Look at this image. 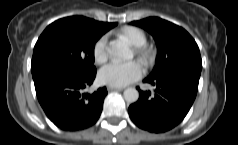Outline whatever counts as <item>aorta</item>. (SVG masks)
Masks as SVG:
<instances>
[{
	"instance_id": "762f6f07",
	"label": "aorta",
	"mask_w": 238,
	"mask_h": 145,
	"mask_svg": "<svg viewBox=\"0 0 238 145\" xmlns=\"http://www.w3.org/2000/svg\"><path fill=\"white\" fill-rule=\"evenodd\" d=\"M109 52L113 56H116L121 59H132L133 58V52L125 43L121 40H114L110 42ZM124 99L128 103L136 102L139 98V92L135 88H127L124 90Z\"/></svg>"
}]
</instances>
